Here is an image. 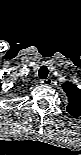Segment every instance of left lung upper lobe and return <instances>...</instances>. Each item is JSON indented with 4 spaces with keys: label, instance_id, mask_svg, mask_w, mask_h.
Masks as SVG:
<instances>
[{
    "label": "left lung upper lobe",
    "instance_id": "left-lung-upper-lobe-1",
    "mask_svg": "<svg viewBox=\"0 0 81 155\" xmlns=\"http://www.w3.org/2000/svg\"><path fill=\"white\" fill-rule=\"evenodd\" d=\"M62 88L68 98L67 112L72 117L81 115V90L70 82L62 84Z\"/></svg>",
    "mask_w": 81,
    "mask_h": 155
}]
</instances>
